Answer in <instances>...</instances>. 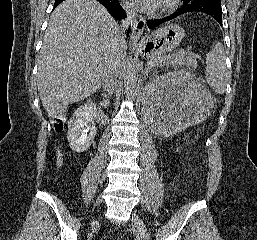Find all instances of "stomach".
Returning <instances> with one entry per match:
<instances>
[{"label": "stomach", "mask_w": 257, "mask_h": 240, "mask_svg": "<svg viewBox=\"0 0 257 240\" xmlns=\"http://www.w3.org/2000/svg\"><path fill=\"white\" fill-rule=\"evenodd\" d=\"M184 37V30L177 24L160 27L141 44V53L151 58L172 51Z\"/></svg>", "instance_id": "1"}]
</instances>
